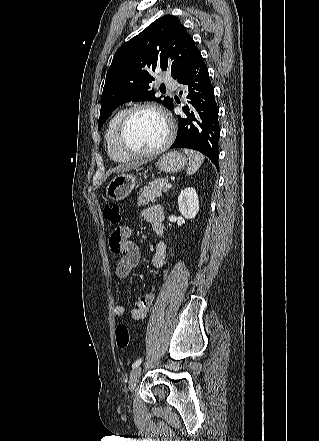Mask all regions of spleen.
Listing matches in <instances>:
<instances>
[{"instance_id":"obj_1","label":"spleen","mask_w":319,"mask_h":441,"mask_svg":"<svg viewBox=\"0 0 319 441\" xmlns=\"http://www.w3.org/2000/svg\"><path fill=\"white\" fill-rule=\"evenodd\" d=\"M183 151L188 156L189 159L187 174L192 175L199 169V167L203 163L204 156L198 151L192 149H184Z\"/></svg>"}]
</instances>
